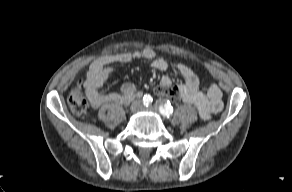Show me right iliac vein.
<instances>
[{"label": "right iliac vein", "instance_id": "obj_1", "mask_svg": "<svg viewBox=\"0 0 292 192\" xmlns=\"http://www.w3.org/2000/svg\"><path fill=\"white\" fill-rule=\"evenodd\" d=\"M142 109V104L139 101L134 102L131 105V112L135 113Z\"/></svg>", "mask_w": 292, "mask_h": 192}]
</instances>
